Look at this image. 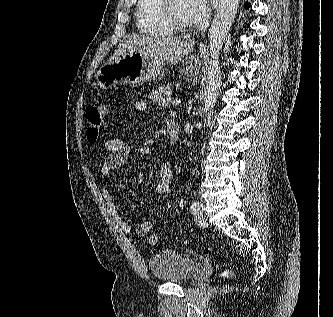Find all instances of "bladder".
Wrapping results in <instances>:
<instances>
[{"mask_svg": "<svg viewBox=\"0 0 333 317\" xmlns=\"http://www.w3.org/2000/svg\"><path fill=\"white\" fill-rule=\"evenodd\" d=\"M153 276L161 282L185 283L194 278L200 263L170 249L153 254L148 261Z\"/></svg>", "mask_w": 333, "mask_h": 317, "instance_id": "bladder-1", "label": "bladder"}]
</instances>
